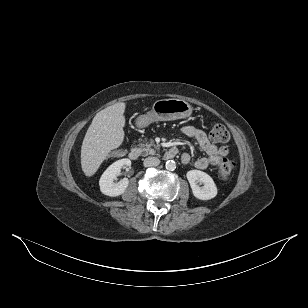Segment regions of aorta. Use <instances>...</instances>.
<instances>
[{"label": "aorta", "instance_id": "obj_1", "mask_svg": "<svg viewBox=\"0 0 308 308\" xmlns=\"http://www.w3.org/2000/svg\"><path fill=\"white\" fill-rule=\"evenodd\" d=\"M165 167L169 171H174L176 169V163L173 160H168L165 164Z\"/></svg>", "mask_w": 308, "mask_h": 308}]
</instances>
